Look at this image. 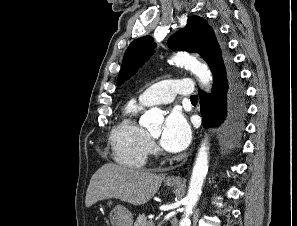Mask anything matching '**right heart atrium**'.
Instances as JSON below:
<instances>
[{"label":"right heart atrium","mask_w":297,"mask_h":226,"mask_svg":"<svg viewBox=\"0 0 297 226\" xmlns=\"http://www.w3.org/2000/svg\"><path fill=\"white\" fill-rule=\"evenodd\" d=\"M155 151V145L153 142L150 141V144H149V152L150 153H153Z\"/></svg>","instance_id":"obj_1"}]
</instances>
